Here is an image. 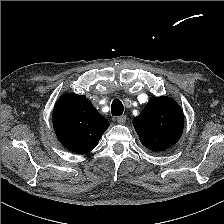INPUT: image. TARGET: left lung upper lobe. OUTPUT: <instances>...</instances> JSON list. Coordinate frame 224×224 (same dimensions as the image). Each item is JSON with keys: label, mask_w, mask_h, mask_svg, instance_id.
Instances as JSON below:
<instances>
[{"label": "left lung upper lobe", "mask_w": 224, "mask_h": 224, "mask_svg": "<svg viewBox=\"0 0 224 224\" xmlns=\"http://www.w3.org/2000/svg\"><path fill=\"white\" fill-rule=\"evenodd\" d=\"M141 143L152 151L173 146L181 137L184 115L180 106L167 96L154 97L133 119Z\"/></svg>", "instance_id": "left-lung-upper-lobe-1"}]
</instances>
